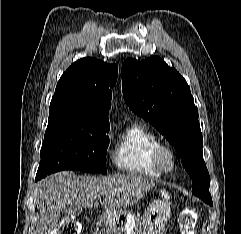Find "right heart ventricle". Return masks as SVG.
I'll return each instance as SVG.
<instances>
[{
    "label": "right heart ventricle",
    "instance_id": "1",
    "mask_svg": "<svg viewBox=\"0 0 241 234\" xmlns=\"http://www.w3.org/2000/svg\"><path fill=\"white\" fill-rule=\"evenodd\" d=\"M160 144L157 135L142 123L130 124L119 136L112 152L114 166L122 172L157 177L161 171L153 160Z\"/></svg>",
    "mask_w": 241,
    "mask_h": 234
}]
</instances>
